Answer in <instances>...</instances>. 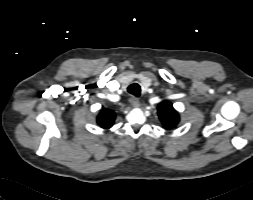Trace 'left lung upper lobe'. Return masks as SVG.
<instances>
[{
  "label": "left lung upper lobe",
  "mask_w": 253,
  "mask_h": 200,
  "mask_svg": "<svg viewBox=\"0 0 253 200\" xmlns=\"http://www.w3.org/2000/svg\"><path fill=\"white\" fill-rule=\"evenodd\" d=\"M159 118L167 129L175 127L179 122V115L168 101H163L158 106Z\"/></svg>",
  "instance_id": "1"
}]
</instances>
